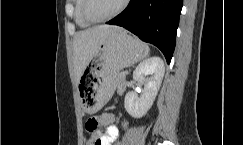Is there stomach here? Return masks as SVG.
<instances>
[{
  "mask_svg": "<svg viewBox=\"0 0 243 145\" xmlns=\"http://www.w3.org/2000/svg\"><path fill=\"white\" fill-rule=\"evenodd\" d=\"M149 53V47L133 38L125 30L112 33L104 41L95 58L81 76L78 102L83 113H97L117 87V75Z\"/></svg>",
  "mask_w": 243,
  "mask_h": 145,
  "instance_id": "0dacf381",
  "label": "stomach"
}]
</instances>
